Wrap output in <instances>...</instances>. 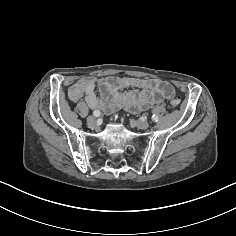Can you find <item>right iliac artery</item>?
<instances>
[{"label": "right iliac artery", "instance_id": "1", "mask_svg": "<svg viewBox=\"0 0 236 236\" xmlns=\"http://www.w3.org/2000/svg\"><path fill=\"white\" fill-rule=\"evenodd\" d=\"M94 117H99L100 116V111L95 110L93 112Z\"/></svg>", "mask_w": 236, "mask_h": 236}]
</instances>
